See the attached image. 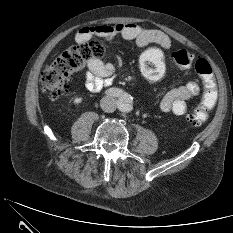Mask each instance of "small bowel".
<instances>
[{
    "label": "small bowel",
    "mask_w": 233,
    "mask_h": 233,
    "mask_svg": "<svg viewBox=\"0 0 233 233\" xmlns=\"http://www.w3.org/2000/svg\"><path fill=\"white\" fill-rule=\"evenodd\" d=\"M120 36L125 40L134 41L139 47L155 44L163 50L171 47L170 38L159 30H147L136 23H118L115 25H100L84 27L76 34L78 43L87 42L92 37L112 40ZM85 86L89 91L99 92L109 89L113 83L116 64L113 59L105 62L91 58L86 63ZM199 80L192 79L186 84L168 91L160 101V109L165 113L183 115L187 111V101L200 93Z\"/></svg>",
    "instance_id": "1"
}]
</instances>
